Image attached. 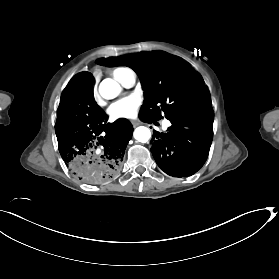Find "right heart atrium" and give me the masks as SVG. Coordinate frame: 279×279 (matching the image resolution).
Returning <instances> with one entry per match:
<instances>
[{
    "label": "right heart atrium",
    "instance_id": "obj_1",
    "mask_svg": "<svg viewBox=\"0 0 279 279\" xmlns=\"http://www.w3.org/2000/svg\"><path fill=\"white\" fill-rule=\"evenodd\" d=\"M93 95H94L95 98L98 97V94H97V90H96V89L93 90Z\"/></svg>",
    "mask_w": 279,
    "mask_h": 279
}]
</instances>
